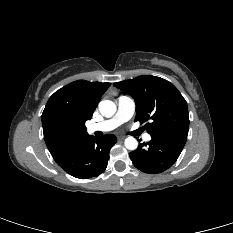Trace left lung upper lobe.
Wrapping results in <instances>:
<instances>
[{"label":"left lung upper lobe","mask_w":233,"mask_h":233,"mask_svg":"<svg viewBox=\"0 0 233 233\" xmlns=\"http://www.w3.org/2000/svg\"><path fill=\"white\" fill-rule=\"evenodd\" d=\"M114 86L131 95L136 102L135 121L144 125L152 136L186 132L189 128L187 102L169 81L143 75L114 83Z\"/></svg>","instance_id":"left-lung-upper-lobe-1"}]
</instances>
